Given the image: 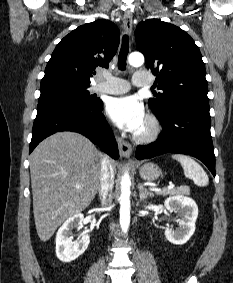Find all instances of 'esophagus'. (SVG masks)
<instances>
[{"label":"esophagus","instance_id":"obj_1","mask_svg":"<svg viewBox=\"0 0 233 283\" xmlns=\"http://www.w3.org/2000/svg\"><path fill=\"white\" fill-rule=\"evenodd\" d=\"M124 29L128 35L132 32L133 16L131 11L127 10L123 17ZM119 152L122 157L130 158L132 154V146L122 138H118Z\"/></svg>","mask_w":233,"mask_h":283}]
</instances>
